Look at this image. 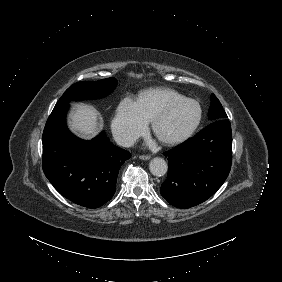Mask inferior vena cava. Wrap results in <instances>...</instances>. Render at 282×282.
Listing matches in <instances>:
<instances>
[{"label": "inferior vena cava", "mask_w": 282, "mask_h": 282, "mask_svg": "<svg viewBox=\"0 0 282 282\" xmlns=\"http://www.w3.org/2000/svg\"><path fill=\"white\" fill-rule=\"evenodd\" d=\"M112 131L115 142L122 147H132L137 141V136L129 130L117 128Z\"/></svg>", "instance_id": "602c4592"}]
</instances>
